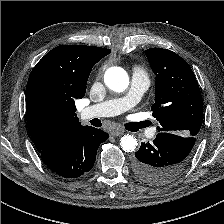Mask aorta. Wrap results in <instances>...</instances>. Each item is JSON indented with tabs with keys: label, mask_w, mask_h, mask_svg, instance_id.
Masks as SVG:
<instances>
[{
	"label": "aorta",
	"mask_w": 224,
	"mask_h": 224,
	"mask_svg": "<svg viewBox=\"0 0 224 224\" xmlns=\"http://www.w3.org/2000/svg\"><path fill=\"white\" fill-rule=\"evenodd\" d=\"M105 84L113 91L123 92L129 85L127 72L117 66L110 67L104 75ZM138 143L133 135H124L120 140V146L125 152H132L136 149Z\"/></svg>",
	"instance_id": "obj_1"
}]
</instances>
